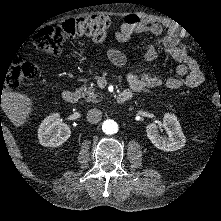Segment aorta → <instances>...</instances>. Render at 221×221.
I'll use <instances>...</instances> for the list:
<instances>
[{"label":"aorta","instance_id":"762f6f07","mask_svg":"<svg viewBox=\"0 0 221 221\" xmlns=\"http://www.w3.org/2000/svg\"><path fill=\"white\" fill-rule=\"evenodd\" d=\"M102 130L108 135L115 134L118 131V124L112 119H107L102 124Z\"/></svg>","mask_w":221,"mask_h":221}]
</instances>
